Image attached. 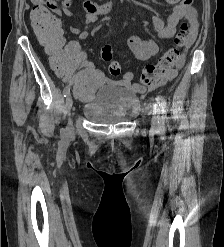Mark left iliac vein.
Instances as JSON below:
<instances>
[{"instance_id": "left-iliac-vein-1", "label": "left iliac vein", "mask_w": 224, "mask_h": 247, "mask_svg": "<svg viewBox=\"0 0 224 247\" xmlns=\"http://www.w3.org/2000/svg\"><path fill=\"white\" fill-rule=\"evenodd\" d=\"M152 129L155 131L159 129V116L158 109L156 107L154 108V113L152 117Z\"/></svg>"}]
</instances>
